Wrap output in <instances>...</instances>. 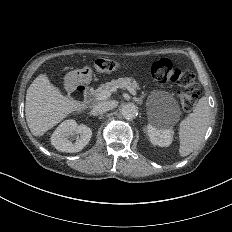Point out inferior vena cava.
I'll return each mask as SVG.
<instances>
[{"mask_svg":"<svg viewBox=\"0 0 232 232\" xmlns=\"http://www.w3.org/2000/svg\"><path fill=\"white\" fill-rule=\"evenodd\" d=\"M116 107V102L114 101H107V102H102L99 103L96 107H95V111L97 113H105L109 110H112Z\"/></svg>","mask_w":232,"mask_h":232,"instance_id":"1","label":"inferior vena cava"}]
</instances>
